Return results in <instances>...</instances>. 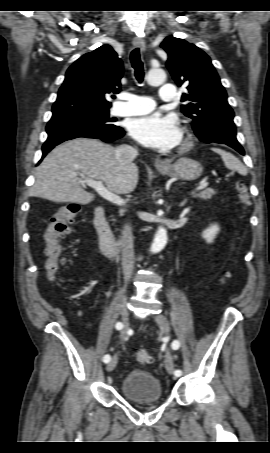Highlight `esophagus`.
Returning a JSON list of instances; mask_svg holds the SVG:
<instances>
[{
  "label": "esophagus",
  "instance_id": "34e87169",
  "mask_svg": "<svg viewBox=\"0 0 270 453\" xmlns=\"http://www.w3.org/2000/svg\"><path fill=\"white\" fill-rule=\"evenodd\" d=\"M133 45L135 47L141 48L142 50H144L146 46L145 41L142 38H134ZM154 165L156 168H164L168 166V163L160 158H156L154 161Z\"/></svg>",
  "mask_w": 270,
  "mask_h": 453
}]
</instances>
